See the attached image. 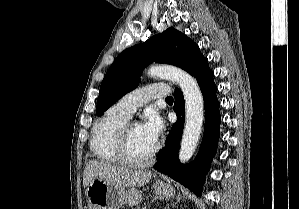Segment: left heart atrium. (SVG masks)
Instances as JSON below:
<instances>
[{
	"mask_svg": "<svg viewBox=\"0 0 299 209\" xmlns=\"http://www.w3.org/2000/svg\"><path fill=\"white\" fill-rule=\"evenodd\" d=\"M140 126L149 141L156 145L163 131V122L159 115L155 112H149Z\"/></svg>",
	"mask_w": 299,
	"mask_h": 209,
	"instance_id": "obj_1",
	"label": "left heart atrium"
}]
</instances>
